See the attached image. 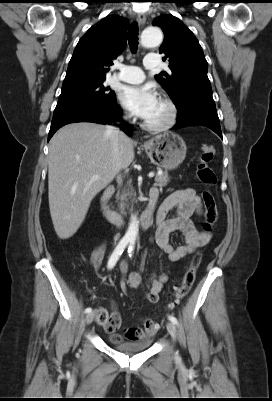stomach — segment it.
Masks as SVG:
<instances>
[{
  "instance_id": "obj_1",
  "label": "stomach",
  "mask_w": 272,
  "mask_h": 401,
  "mask_svg": "<svg viewBox=\"0 0 272 401\" xmlns=\"http://www.w3.org/2000/svg\"><path fill=\"white\" fill-rule=\"evenodd\" d=\"M144 149L152 162L166 170L178 167L187 151L184 140L176 133L157 135L144 143Z\"/></svg>"
}]
</instances>
